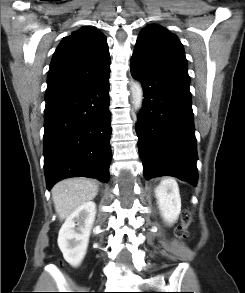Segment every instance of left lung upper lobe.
<instances>
[{
  "instance_id": "5c2ea615",
  "label": "left lung upper lobe",
  "mask_w": 245,
  "mask_h": 293,
  "mask_svg": "<svg viewBox=\"0 0 245 293\" xmlns=\"http://www.w3.org/2000/svg\"><path fill=\"white\" fill-rule=\"evenodd\" d=\"M133 54L189 78L183 46L177 36L164 27H145L138 36Z\"/></svg>"
}]
</instances>
